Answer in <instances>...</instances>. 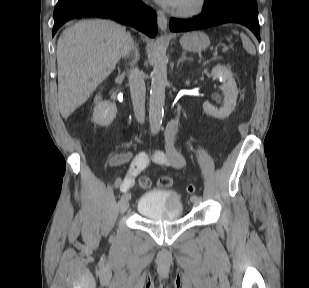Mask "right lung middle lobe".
I'll list each match as a JSON object with an SVG mask.
<instances>
[{"label":"right lung middle lobe","mask_w":309,"mask_h":288,"mask_svg":"<svg viewBox=\"0 0 309 288\" xmlns=\"http://www.w3.org/2000/svg\"><path fill=\"white\" fill-rule=\"evenodd\" d=\"M74 0H58V3L56 5L55 9H60L66 5H68L69 3L73 2Z\"/></svg>","instance_id":"obj_1"}]
</instances>
